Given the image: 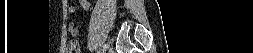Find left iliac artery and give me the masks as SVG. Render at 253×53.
Listing matches in <instances>:
<instances>
[{"label": "left iliac artery", "instance_id": "1", "mask_svg": "<svg viewBox=\"0 0 253 53\" xmlns=\"http://www.w3.org/2000/svg\"><path fill=\"white\" fill-rule=\"evenodd\" d=\"M97 48H98V53H103L101 42H98Z\"/></svg>", "mask_w": 253, "mask_h": 53}]
</instances>
